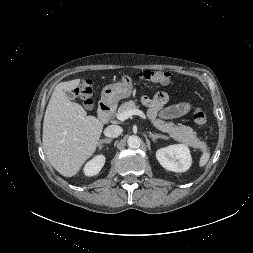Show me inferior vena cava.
<instances>
[{"label": "inferior vena cava", "mask_w": 253, "mask_h": 253, "mask_svg": "<svg viewBox=\"0 0 253 253\" xmlns=\"http://www.w3.org/2000/svg\"><path fill=\"white\" fill-rule=\"evenodd\" d=\"M123 129L118 125H109L104 130V135L110 138H116L122 133Z\"/></svg>", "instance_id": "1"}]
</instances>
